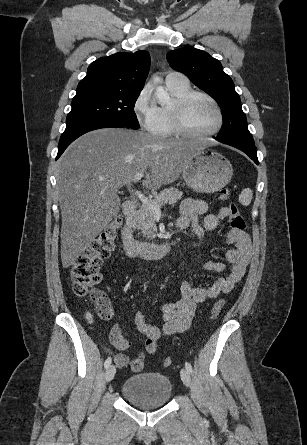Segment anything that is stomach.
Instances as JSON below:
<instances>
[{
	"instance_id": "stomach-1",
	"label": "stomach",
	"mask_w": 307,
	"mask_h": 445,
	"mask_svg": "<svg viewBox=\"0 0 307 445\" xmlns=\"http://www.w3.org/2000/svg\"><path fill=\"white\" fill-rule=\"evenodd\" d=\"M233 168L228 158L211 148H198L183 170V178L195 192H217L230 182Z\"/></svg>"
}]
</instances>
